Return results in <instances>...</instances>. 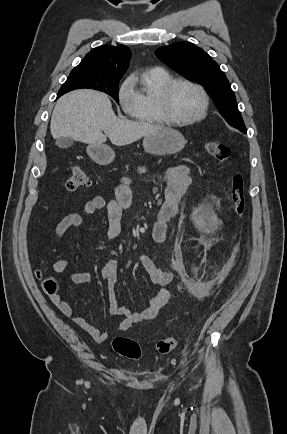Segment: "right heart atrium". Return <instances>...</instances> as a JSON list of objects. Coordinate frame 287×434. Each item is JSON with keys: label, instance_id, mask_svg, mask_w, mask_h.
Here are the masks:
<instances>
[{"label": "right heart atrium", "instance_id": "1", "mask_svg": "<svg viewBox=\"0 0 287 434\" xmlns=\"http://www.w3.org/2000/svg\"><path fill=\"white\" fill-rule=\"evenodd\" d=\"M118 101L123 111L132 115L140 105V94L133 75L128 76L118 90Z\"/></svg>", "mask_w": 287, "mask_h": 434}]
</instances>
